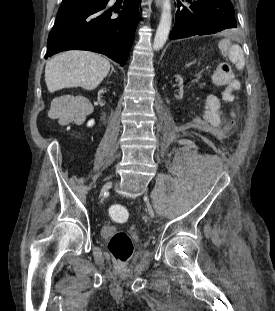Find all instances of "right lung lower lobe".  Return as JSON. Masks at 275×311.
<instances>
[{
    "label": "right lung lower lobe",
    "mask_w": 275,
    "mask_h": 311,
    "mask_svg": "<svg viewBox=\"0 0 275 311\" xmlns=\"http://www.w3.org/2000/svg\"><path fill=\"white\" fill-rule=\"evenodd\" d=\"M109 0L70 8L58 13L47 42L48 57L66 50L102 53L125 65L138 23L139 0H124L118 16L108 9Z\"/></svg>",
    "instance_id": "1"
}]
</instances>
